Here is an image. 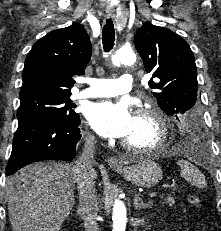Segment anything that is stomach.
Listing matches in <instances>:
<instances>
[{
  "label": "stomach",
  "mask_w": 221,
  "mask_h": 231,
  "mask_svg": "<svg viewBox=\"0 0 221 231\" xmlns=\"http://www.w3.org/2000/svg\"><path fill=\"white\" fill-rule=\"evenodd\" d=\"M128 182L135 186L151 188L163 177L161 167L152 160L144 159L124 168H114Z\"/></svg>",
  "instance_id": "1"
}]
</instances>
